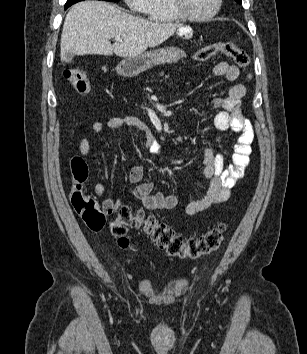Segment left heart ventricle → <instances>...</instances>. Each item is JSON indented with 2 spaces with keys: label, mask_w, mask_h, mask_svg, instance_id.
Instances as JSON below:
<instances>
[{
  "label": "left heart ventricle",
  "mask_w": 307,
  "mask_h": 354,
  "mask_svg": "<svg viewBox=\"0 0 307 354\" xmlns=\"http://www.w3.org/2000/svg\"><path fill=\"white\" fill-rule=\"evenodd\" d=\"M216 0H185V8L192 15H205L211 12Z\"/></svg>",
  "instance_id": "left-heart-ventricle-1"
}]
</instances>
